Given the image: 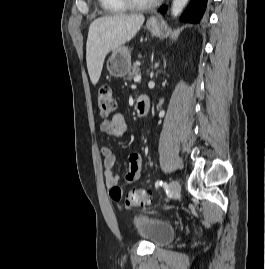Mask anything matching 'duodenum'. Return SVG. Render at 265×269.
I'll return each instance as SVG.
<instances>
[{
	"instance_id": "obj_1",
	"label": "duodenum",
	"mask_w": 265,
	"mask_h": 269,
	"mask_svg": "<svg viewBox=\"0 0 265 269\" xmlns=\"http://www.w3.org/2000/svg\"><path fill=\"white\" fill-rule=\"evenodd\" d=\"M150 108V101L148 96L140 95L137 98L136 102V112L138 116L143 117L149 112Z\"/></svg>"
}]
</instances>
